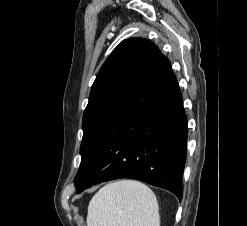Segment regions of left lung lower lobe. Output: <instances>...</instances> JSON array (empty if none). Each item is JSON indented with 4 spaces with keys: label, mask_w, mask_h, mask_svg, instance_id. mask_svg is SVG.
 <instances>
[{
    "label": "left lung lower lobe",
    "mask_w": 247,
    "mask_h": 226,
    "mask_svg": "<svg viewBox=\"0 0 247 226\" xmlns=\"http://www.w3.org/2000/svg\"><path fill=\"white\" fill-rule=\"evenodd\" d=\"M187 117L169 60L160 54L78 172L77 193L104 181L133 178L182 199Z\"/></svg>",
    "instance_id": "0a47b994"
}]
</instances>
